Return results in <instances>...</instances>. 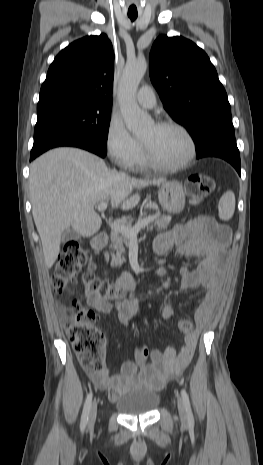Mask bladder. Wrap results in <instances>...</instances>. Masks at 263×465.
<instances>
[{
	"instance_id": "31cf9c89",
	"label": "bladder",
	"mask_w": 263,
	"mask_h": 465,
	"mask_svg": "<svg viewBox=\"0 0 263 465\" xmlns=\"http://www.w3.org/2000/svg\"><path fill=\"white\" fill-rule=\"evenodd\" d=\"M160 397L148 389H134L121 396L115 403L116 409L125 415L138 416L152 412Z\"/></svg>"
}]
</instances>
